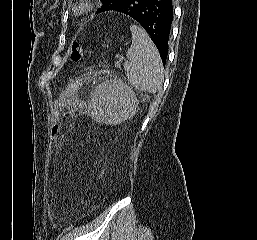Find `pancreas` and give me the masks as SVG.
<instances>
[{"mask_svg": "<svg viewBox=\"0 0 257 240\" xmlns=\"http://www.w3.org/2000/svg\"><path fill=\"white\" fill-rule=\"evenodd\" d=\"M115 66L119 67L120 65L118 63H116Z\"/></svg>", "mask_w": 257, "mask_h": 240, "instance_id": "pancreas-1", "label": "pancreas"}]
</instances>
